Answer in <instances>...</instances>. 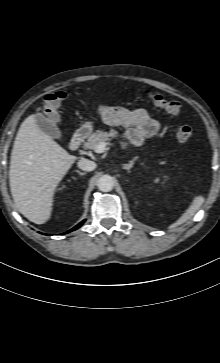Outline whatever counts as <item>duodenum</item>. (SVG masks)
<instances>
[{"label":"duodenum","instance_id":"410a0bca","mask_svg":"<svg viewBox=\"0 0 220 363\" xmlns=\"http://www.w3.org/2000/svg\"><path fill=\"white\" fill-rule=\"evenodd\" d=\"M89 134V128L82 127L79 128L73 135L72 139L69 142V148L72 150L78 149L81 144L84 142L86 137Z\"/></svg>","mask_w":220,"mask_h":363}]
</instances>
